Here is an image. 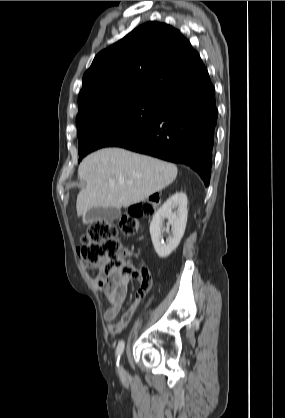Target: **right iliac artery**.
<instances>
[{"label":"right iliac artery","mask_w":285,"mask_h":418,"mask_svg":"<svg viewBox=\"0 0 285 418\" xmlns=\"http://www.w3.org/2000/svg\"><path fill=\"white\" fill-rule=\"evenodd\" d=\"M124 346H125V343H124L123 340L118 343V346H117V349H116V356L118 357V360H119L120 355L122 354V352L124 350ZM117 365H118V362H117Z\"/></svg>","instance_id":"obj_1"}]
</instances>
